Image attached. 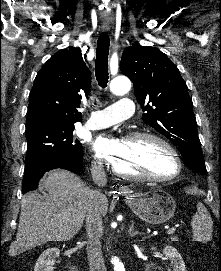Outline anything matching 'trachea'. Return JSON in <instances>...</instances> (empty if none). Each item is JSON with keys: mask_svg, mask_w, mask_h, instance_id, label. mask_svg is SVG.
Listing matches in <instances>:
<instances>
[{"mask_svg": "<svg viewBox=\"0 0 221 271\" xmlns=\"http://www.w3.org/2000/svg\"><path fill=\"white\" fill-rule=\"evenodd\" d=\"M110 39L107 33H102L97 42L95 76L98 84L102 88L107 87L108 73V54Z\"/></svg>", "mask_w": 221, "mask_h": 271, "instance_id": "3493384b", "label": "trachea"}]
</instances>
